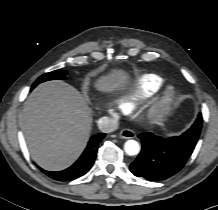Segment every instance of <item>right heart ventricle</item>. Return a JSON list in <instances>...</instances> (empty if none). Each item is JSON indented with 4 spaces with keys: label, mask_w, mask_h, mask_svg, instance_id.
<instances>
[{
    "label": "right heart ventricle",
    "mask_w": 218,
    "mask_h": 210,
    "mask_svg": "<svg viewBox=\"0 0 218 210\" xmlns=\"http://www.w3.org/2000/svg\"><path fill=\"white\" fill-rule=\"evenodd\" d=\"M163 79L155 74L139 76L119 99V106L124 111H131L159 92Z\"/></svg>",
    "instance_id": "1"
}]
</instances>
